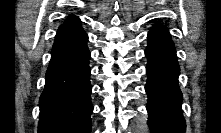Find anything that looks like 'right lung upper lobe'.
I'll return each instance as SVG.
<instances>
[{
  "instance_id": "obj_1",
  "label": "right lung upper lobe",
  "mask_w": 221,
  "mask_h": 133,
  "mask_svg": "<svg viewBox=\"0 0 221 133\" xmlns=\"http://www.w3.org/2000/svg\"><path fill=\"white\" fill-rule=\"evenodd\" d=\"M85 35L81 21L77 17H70L61 25L55 36V41L74 40Z\"/></svg>"
}]
</instances>
